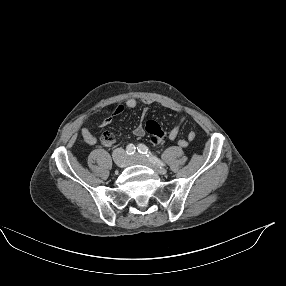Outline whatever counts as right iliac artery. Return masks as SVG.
<instances>
[{"label":"right iliac artery","instance_id":"82829eb1","mask_svg":"<svg viewBox=\"0 0 286 286\" xmlns=\"http://www.w3.org/2000/svg\"><path fill=\"white\" fill-rule=\"evenodd\" d=\"M135 146L133 144H129L127 147H126V152L128 155H133L135 153Z\"/></svg>","mask_w":286,"mask_h":286}]
</instances>
